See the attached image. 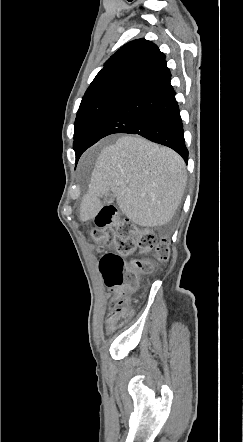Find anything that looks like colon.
Instances as JSON below:
<instances>
[{
  "label": "colon",
  "instance_id": "1",
  "mask_svg": "<svg viewBox=\"0 0 243 442\" xmlns=\"http://www.w3.org/2000/svg\"><path fill=\"white\" fill-rule=\"evenodd\" d=\"M96 228L92 238L100 249L113 247L117 254H103L99 270L105 285L114 291L112 308L115 325L131 315L130 294L134 293L141 278L155 262L166 261L171 255L167 239H158L152 229L136 230L133 224L121 219L113 203H106L95 216ZM139 249L147 258L123 260L119 255H130Z\"/></svg>",
  "mask_w": 243,
  "mask_h": 442
}]
</instances>
